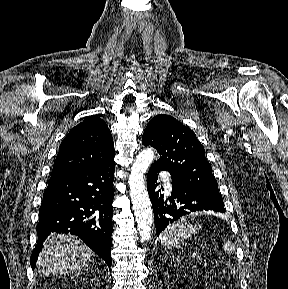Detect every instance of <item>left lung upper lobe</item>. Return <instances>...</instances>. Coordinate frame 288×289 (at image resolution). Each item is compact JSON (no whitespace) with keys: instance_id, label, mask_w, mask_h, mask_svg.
Returning <instances> with one entry per match:
<instances>
[{"instance_id":"5c2ea615","label":"left lung upper lobe","mask_w":288,"mask_h":289,"mask_svg":"<svg viewBox=\"0 0 288 289\" xmlns=\"http://www.w3.org/2000/svg\"><path fill=\"white\" fill-rule=\"evenodd\" d=\"M142 142L160 155L155 164L182 184L222 197L205 150L195 133L172 116L157 115L147 125Z\"/></svg>"}]
</instances>
